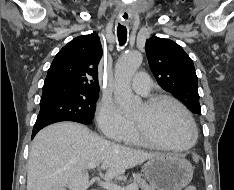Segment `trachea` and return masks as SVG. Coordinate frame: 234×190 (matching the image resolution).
<instances>
[{
    "label": "trachea",
    "instance_id": "obj_1",
    "mask_svg": "<svg viewBox=\"0 0 234 190\" xmlns=\"http://www.w3.org/2000/svg\"><path fill=\"white\" fill-rule=\"evenodd\" d=\"M117 36H118L119 44L121 46L124 45L126 43V39H127V29L125 26L118 24Z\"/></svg>",
    "mask_w": 234,
    "mask_h": 190
}]
</instances>
